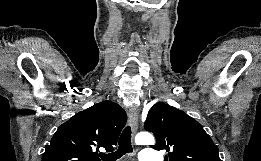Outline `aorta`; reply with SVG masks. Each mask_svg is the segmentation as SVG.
Listing matches in <instances>:
<instances>
[{"label":"aorta","instance_id":"obj_1","mask_svg":"<svg viewBox=\"0 0 261 161\" xmlns=\"http://www.w3.org/2000/svg\"><path fill=\"white\" fill-rule=\"evenodd\" d=\"M154 142L153 135L148 132L138 133L135 137V143L137 145H153Z\"/></svg>","mask_w":261,"mask_h":161}]
</instances>
